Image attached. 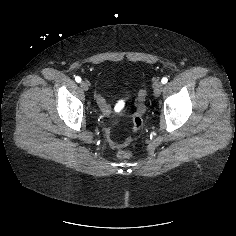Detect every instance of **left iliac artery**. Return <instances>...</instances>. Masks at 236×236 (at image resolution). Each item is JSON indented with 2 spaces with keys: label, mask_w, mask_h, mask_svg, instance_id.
Returning a JSON list of instances; mask_svg holds the SVG:
<instances>
[{
  "label": "left iliac artery",
  "mask_w": 236,
  "mask_h": 236,
  "mask_svg": "<svg viewBox=\"0 0 236 236\" xmlns=\"http://www.w3.org/2000/svg\"><path fill=\"white\" fill-rule=\"evenodd\" d=\"M167 81H168V79L166 77H163L162 80H161L162 84H166Z\"/></svg>",
  "instance_id": "1"
}]
</instances>
